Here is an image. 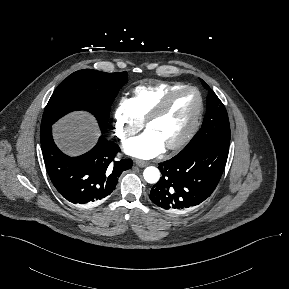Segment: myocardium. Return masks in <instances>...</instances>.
<instances>
[{
    "instance_id": "1",
    "label": "myocardium",
    "mask_w": 289,
    "mask_h": 289,
    "mask_svg": "<svg viewBox=\"0 0 289 289\" xmlns=\"http://www.w3.org/2000/svg\"><path fill=\"white\" fill-rule=\"evenodd\" d=\"M185 91H192L197 95V97H198L197 112H196V115L193 119L191 126L189 127L188 131L184 134V136L180 140H178L177 142L165 146V149L168 151H176V150L183 148L185 145H187L190 142V140L196 134V132L199 128L201 119H202L203 111H204V100H203V96H202L201 92L196 87L190 86V85H183L182 87H179V88L169 92L161 100V102L152 110V112L146 117V119L144 121V126H145V128L148 129L149 125L152 122H154L155 120L160 118L165 113V111L168 109V107L171 104V102L173 101V99L177 95H179Z\"/></svg>"
}]
</instances>
